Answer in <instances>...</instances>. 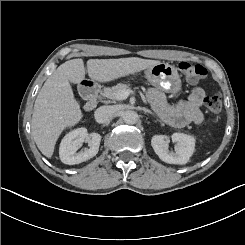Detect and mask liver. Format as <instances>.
<instances>
[{"mask_svg": "<svg viewBox=\"0 0 245 245\" xmlns=\"http://www.w3.org/2000/svg\"><path fill=\"white\" fill-rule=\"evenodd\" d=\"M156 60L137 57L120 59H91L88 61V74L101 81L111 80L121 75L131 74L158 64ZM85 76L83 59L69 60L60 65L46 80L35 101L32 116V134L40 151L51 157L54 144L67 125H73L81 118V112L74 100L70 81L80 82ZM50 110L51 116L46 112ZM61 116L62 120L55 119Z\"/></svg>", "mask_w": 245, "mask_h": 245, "instance_id": "6515ba94", "label": "liver"}]
</instances>
